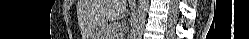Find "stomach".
<instances>
[{
	"instance_id": "0dacf381",
	"label": "stomach",
	"mask_w": 249,
	"mask_h": 39,
	"mask_svg": "<svg viewBox=\"0 0 249 39\" xmlns=\"http://www.w3.org/2000/svg\"><path fill=\"white\" fill-rule=\"evenodd\" d=\"M92 37H96V38H98V39H99L100 37H102L101 29H100V30H96V31L93 33Z\"/></svg>"
}]
</instances>
